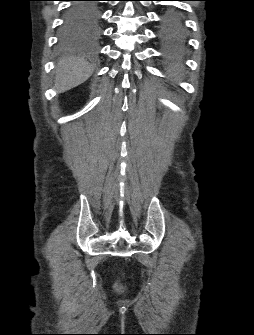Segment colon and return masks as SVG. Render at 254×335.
<instances>
[{
    "instance_id": "5ec220e1",
    "label": "colon",
    "mask_w": 254,
    "mask_h": 335,
    "mask_svg": "<svg viewBox=\"0 0 254 335\" xmlns=\"http://www.w3.org/2000/svg\"><path fill=\"white\" fill-rule=\"evenodd\" d=\"M115 288L118 289V290L121 289V285L119 284V282L115 283Z\"/></svg>"
}]
</instances>
